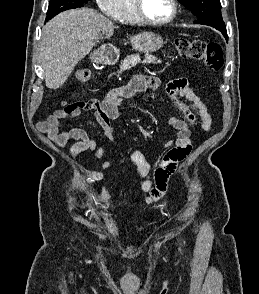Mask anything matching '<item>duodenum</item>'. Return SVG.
<instances>
[{
    "mask_svg": "<svg viewBox=\"0 0 259 294\" xmlns=\"http://www.w3.org/2000/svg\"><path fill=\"white\" fill-rule=\"evenodd\" d=\"M117 56L115 55V53H111L107 50L103 51L102 54V60L106 61L108 63H113L116 60Z\"/></svg>",
    "mask_w": 259,
    "mask_h": 294,
    "instance_id": "duodenum-1",
    "label": "duodenum"
}]
</instances>
